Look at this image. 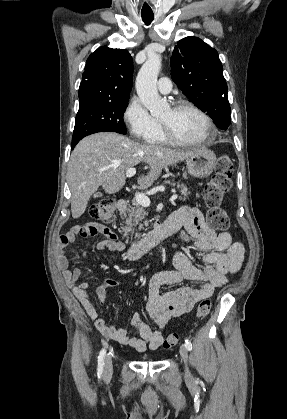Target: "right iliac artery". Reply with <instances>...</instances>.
Here are the masks:
<instances>
[{
	"mask_svg": "<svg viewBox=\"0 0 287 419\" xmlns=\"http://www.w3.org/2000/svg\"><path fill=\"white\" fill-rule=\"evenodd\" d=\"M105 355H106V350H105V348H103L100 351V354L98 356V368H97L98 372H97V374H98L99 378L102 376V373H103Z\"/></svg>",
	"mask_w": 287,
	"mask_h": 419,
	"instance_id": "1",
	"label": "right iliac artery"
}]
</instances>
